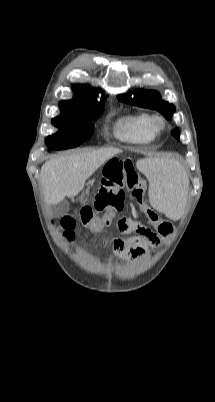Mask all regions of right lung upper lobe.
<instances>
[{
  "instance_id": "right-lung-upper-lobe-1",
  "label": "right lung upper lobe",
  "mask_w": 215,
  "mask_h": 402,
  "mask_svg": "<svg viewBox=\"0 0 215 402\" xmlns=\"http://www.w3.org/2000/svg\"><path fill=\"white\" fill-rule=\"evenodd\" d=\"M73 92V102L92 103L94 101H97L95 98V94H97L99 90H94L89 85H77L73 87Z\"/></svg>"
}]
</instances>
